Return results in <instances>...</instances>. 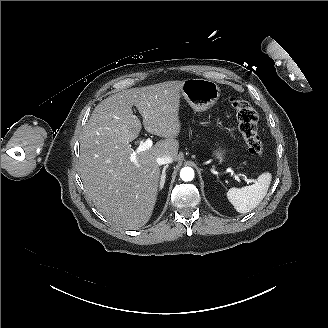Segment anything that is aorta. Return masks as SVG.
<instances>
[{"label":"aorta","mask_w":328,"mask_h":328,"mask_svg":"<svg viewBox=\"0 0 328 328\" xmlns=\"http://www.w3.org/2000/svg\"><path fill=\"white\" fill-rule=\"evenodd\" d=\"M180 178L185 181H192L194 178V170L191 167H184L180 171Z\"/></svg>","instance_id":"762f6f07"}]
</instances>
